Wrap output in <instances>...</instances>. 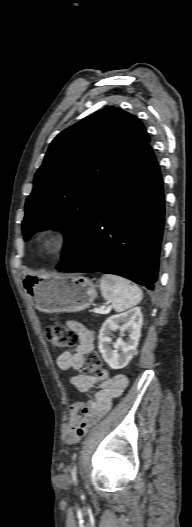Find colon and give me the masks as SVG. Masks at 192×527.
Instances as JSON below:
<instances>
[{
  "mask_svg": "<svg viewBox=\"0 0 192 527\" xmlns=\"http://www.w3.org/2000/svg\"><path fill=\"white\" fill-rule=\"evenodd\" d=\"M45 336L55 350H62L73 346L78 339L74 330L58 323L47 326ZM86 368L90 374L99 378L103 377L102 362L97 352L91 351L87 354Z\"/></svg>",
  "mask_w": 192,
  "mask_h": 527,
  "instance_id": "colon-1",
  "label": "colon"
}]
</instances>
